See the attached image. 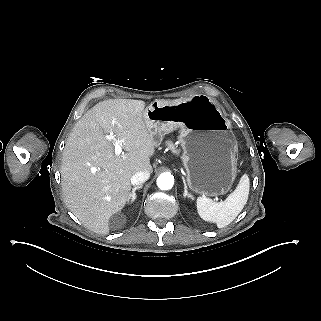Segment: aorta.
Segmentation results:
<instances>
[{"mask_svg":"<svg viewBox=\"0 0 321 321\" xmlns=\"http://www.w3.org/2000/svg\"><path fill=\"white\" fill-rule=\"evenodd\" d=\"M174 177L170 173H163L157 178V186L161 190H169L173 187Z\"/></svg>","mask_w":321,"mask_h":321,"instance_id":"aorta-1","label":"aorta"}]
</instances>
